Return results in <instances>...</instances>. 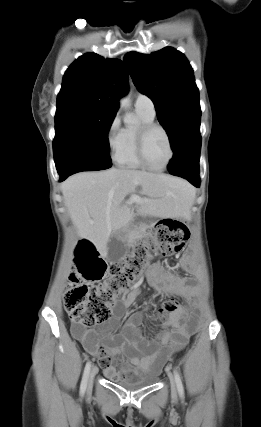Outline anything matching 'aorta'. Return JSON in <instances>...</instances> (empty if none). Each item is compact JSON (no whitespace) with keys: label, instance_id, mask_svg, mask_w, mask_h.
Returning <instances> with one entry per match:
<instances>
[{"label":"aorta","instance_id":"762f6f07","mask_svg":"<svg viewBox=\"0 0 261 427\" xmlns=\"http://www.w3.org/2000/svg\"><path fill=\"white\" fill-rule=\"evenodd\" d=\"M130 100L126 97L120 100V106L124 109H128L130 108ZM136 120L135 118L131 115V114H126V116L124 117V122L125 123H134Z\"/></svg>","mask_w":261,"mask_h":427}]
</instances>
